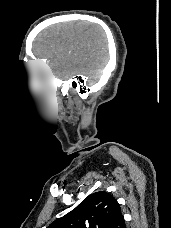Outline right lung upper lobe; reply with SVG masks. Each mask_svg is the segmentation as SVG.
<instances>
[{
  "instance_id": "cb5924a9",
  "label": "right lung upper lobe",
  "mask_w": 171,
  "mask_h": 228,
  "mask_svg": "<svg viewBox=\"0 0 171 228\" xmlns=\"http://www.w3.org/2000/svg\"><path fill=\"white\" fill-rule=\"evenodd\" d=\"M47 228H126L116 199L105 191L89 195Z\"/></svg>"
}]
</instances>
